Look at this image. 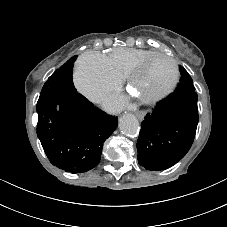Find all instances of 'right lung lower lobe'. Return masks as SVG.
<instances>
[{
	"label": "right lung lower lobe",
	"mask_w": 227,
	"mask_h": 227,
	"mask_svg": "<svg viewBox=\"0 0 227 227\" xmlns=\"http://www.w3.org/2000/svg\"><path fill=\"white\" fill-rule=\"evenodd\" d=\"M36 110L37 135L54 166L83 173L98 165L103 143L117 127V117L73 91L41 93Z\"/></svg>",
	"instance_id": "obj_1"
}]
</instances>
